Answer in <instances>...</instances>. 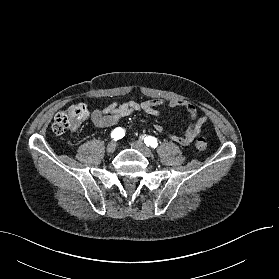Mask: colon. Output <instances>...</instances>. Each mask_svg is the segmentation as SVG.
<instances>
[{
    "instance_id": "1",
    "label": "colon",
    "mask_w": 279,
    "mask_h": 279,
    "mask_svg": "<svg viewBox=\"0 0 279 279\" xmlns=\"http://www.w3.org/2000/svg\"><path fill=\"white\" fill-rule=\"evenodd\" d=\"M88 117V109L82 103L69 106L64 111L56 114L52 130L57 135H62L68 131L78 129ZM195 147L198 151H204L207 148V141L200 137L196 140Z\"/></svg>"
}]
</instances>
